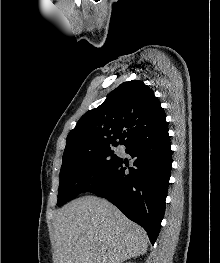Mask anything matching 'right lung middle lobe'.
<instances>
[{"label": "right lung middle lobe", "mask_w": 220, "mask_h": 263, "mask_svg": "<svg viewBox=\"0 0 220 263\" xmlns=\"http://www.w3.org/2000/svg\"><path fill=\"white\" fill-rule=\"evenodd\" d=\"M119 160L120 158L114 154L111 147L90 151H72L63 154L58 206H62L83 192L90 184L87 180V175L90 172L94 173L93 182H96L114 167Z\"/></svg>", "instance_id": "dd1d6c3e"}]
</instances>
